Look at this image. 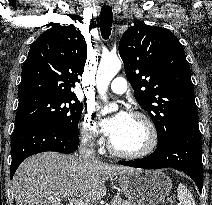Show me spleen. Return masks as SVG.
Segmentation results:
<instances>
[{
    "label": "spleen",
    "mask_w": 212,
    "mask_h": 205,
    "mask_svg": "<svg viewBox=\"0 0 212 205\" xmlns=\"http://www.w3.org/2000/svg\"><path fill=\"white\" fill-rule=\"evenodd\" d=\"M177 199L181 205H195V200L184 184H179L177 189Z\"/></svg>",
    "instance_id": "1"
}]
</instances>
